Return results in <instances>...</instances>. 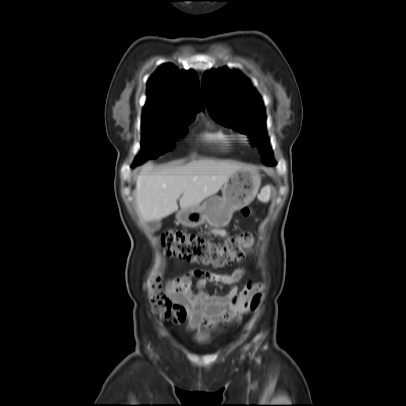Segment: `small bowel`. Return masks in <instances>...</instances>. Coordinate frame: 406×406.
<instances>
[{"instance_id":"small-bowel-1","label":"small bowel","mask_w":406,"mask_h":406,"mask_svg":"<svg viewBox=\"0 0 406 406\" xmlns=\"http://www.w3.org/2000/svg\"><path fill=\"white\" fill-rule=\"evenodd\" d=\"M209 234L225 238L228 232L223 229H211ZM246 273L242 267L231 274H217L204 270H191L184 275L171 279L166 284V293L173 305L174 315L179 322H188L190 330H197L201 335L221 323H234L247 310L251 296L261 290L263 285L249 281L239 292L236 283ZM193 277H198L196 291L191 288ZM208 282L222 283L230 286L226 295H209L204 291Z\"/></svg>"}]
</instances>
